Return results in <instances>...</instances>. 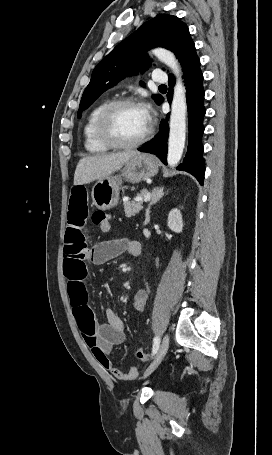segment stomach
<instances>
[{
  "mask_svg": "<svg viewBox=\"0 0 272 455\" xmlns=\"http://www.w3.org/2000/svg\"><path fill=\"white\" fill-rule=\"evenodd\" d=\"M158 172V164L148 154H137L129 159L118 175H109L98 180L92 188L91 197L94 206L100 210L115 207L119 201V190L122 179L131 183L140 182L153 177Z\"/></svg>",
  "mask_w": 272,
  "mask_h": 455,
  "instance_id": "0dacf381",
  "label": "stomach"
}]
</instances>
